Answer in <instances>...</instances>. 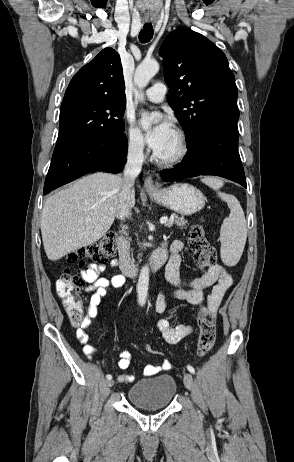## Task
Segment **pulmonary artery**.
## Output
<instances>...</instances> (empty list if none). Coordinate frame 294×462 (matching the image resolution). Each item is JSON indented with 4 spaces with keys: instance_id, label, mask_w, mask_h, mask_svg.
Returning <instances> with one entry per match:
<instances>
[{
    "instance_id": "e3ab8cb5",
    "label": "pulmonary artery",
    "mask_w": 294,
    "mask_h": 462,
    "mask_svg": "<svg viewBox=\"0 0 294 462\" xmlns=\"http://www.w3.org/2000/svg\"><path fill=\"white\" fill-rule=\"evenodd\" d=\"M167 87L164 83L158 82L145 91L148 100L158 103L164 100Z\"/></svg>"
}]
</instances>
